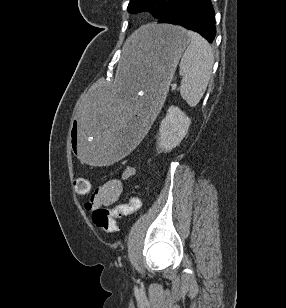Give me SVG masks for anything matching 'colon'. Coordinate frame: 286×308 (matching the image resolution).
<instances>
[{
    "label": "colon",
    "instance_id": "5ec220e1",
    "mask_svg": "<svg viewBox=\"0 0 286 308\" xmlns=\"http://www.w3.org/2000/svg\"><path fill=\"white\" fill-rule=\"evenodd\" d=\"M74 188L79 194H88L90 183L86 179H76ZM141 206V201L137 197H130L125 204L118 205L112 209L99 207L92 213L94 224L106 233H114L117 230L116 219L123 215H130L136 212Z\"/></svg>",
    "mask_w": 286,
    "mask_h": 308
}]
</instances>
